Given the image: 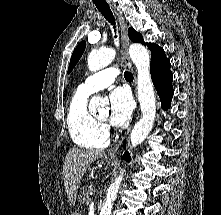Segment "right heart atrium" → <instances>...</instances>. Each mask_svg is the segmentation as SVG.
I'll return each instance as SVG.
<instances>
[{"mask_svg":"<svg viewBox=\"0 0 221 215\" xmlns=\"http://www.w3.org/2000/svg\"><path fill=\"white\" fill-rule=\"evenodd\" d=\"M102 127H103L104 132L107 133V132H108V127H107V125L103 124Z\"/></svg>","mask_w":221,"mask_h":215,"instance_id":"d8ad5b80","label":"right heart atrium"}]
</instances>
